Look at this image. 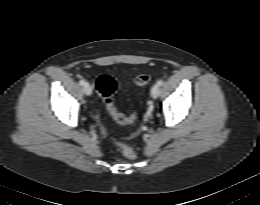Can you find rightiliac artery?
<instances>
[{
	"label": "right iliac artery",
	"instance_id": "82829eb1",
	"mask_svg": "<svg viewBox=\"0 0 260 205\" xmlns=\"http://www.w3.org/2000/svg\"><path fill=\"white\" fill-rule=\"evenodd\" d=\"M79 83H80V85H82V86H84V85L86 84L85 80H83V79H81V80L79 81Z\"/></svg>",
	"mask_w": 260,
	"mask_h": 205
}]
</instances>
